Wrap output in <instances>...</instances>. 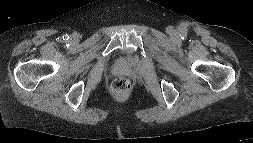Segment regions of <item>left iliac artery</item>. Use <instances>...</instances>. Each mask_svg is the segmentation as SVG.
Returning a JSON list of instances; mask_svg holds the SVG:
<instances>
[{
  "instance_id": "obj_1",
  "label": "left iliac artery",
  "mask_w": 253,
  "mask_h": 143,
  "mask_svg": "<svg viewBox=\"0 0 253 143\" xmlns=\"http://www.w3.org/2000/svg\"><path fill=\"white\" fill-rule=\"evenodd\" d=\"M180 35H181V38L184 40L187 37V32L186 31H182Z\"/></svg>"
}]
</instances>
